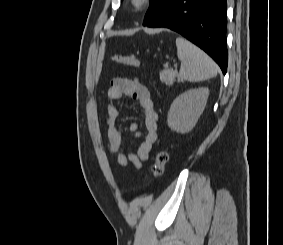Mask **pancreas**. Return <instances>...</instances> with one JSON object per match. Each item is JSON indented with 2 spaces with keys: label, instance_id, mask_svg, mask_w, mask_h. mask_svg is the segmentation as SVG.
I'll use <instances>...</instances> for the list:
<instances>
[{
  "label": "pancreas",
  "instance_id": "1",
  "mask_svg": "<svg viewBox=\"0 0 283 245\" xmlns=\"http://www.w3.org/2000/svg\"><path fill=\"white\" fill-rule=\"evenodd\" d=\"M177 77V71L165 69L160 72V81L166 85H172Z\"/></svg>",
  "mask_w": 283,
  "mask_h": 245
}]
</instances>
